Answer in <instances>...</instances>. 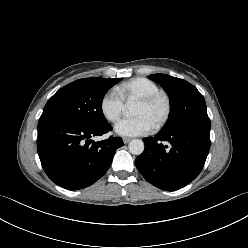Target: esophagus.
I'll return each instance as SVG.
<instances>
[{
    "label": "esophagus",
    "mask_w": 248,
    "mask_h": 248,
    "mask_svg": "<svg viewBox=\"0 0 248 248\" xmlns=\"http://www.w3.org/2000/svg\"><path fill=\"white\" fill-rule=\"evenodd\" d=\"M130 140H131V138H129V137H124V138H123V142H124L125 144H127L128 142H130Z\"/></svg>",
    "instance_id": "1"
}]
</instances>
